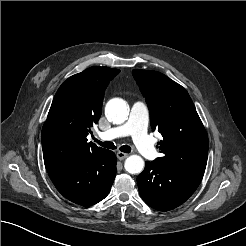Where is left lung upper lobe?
Listing matches in <instances>:
<instances>
[{"label":"left lung upper lobe","mask_w":246,"mask_h":246,"mask_svg":"<svg viewBox=\"0 0 246 246\" xmlns=\"http://www.w3.org/2000/svg\"><path fill=\"white\" fill-rule=\"evenodd\" d=\"M133 76L148 104L152 129L163 136L158 143L163 156L153 162L204 172L208 136L187 91L160 72L134 69Z\"/></svg>","instance_id":"left-lung-upper-lobe-1"}]
</instances>
